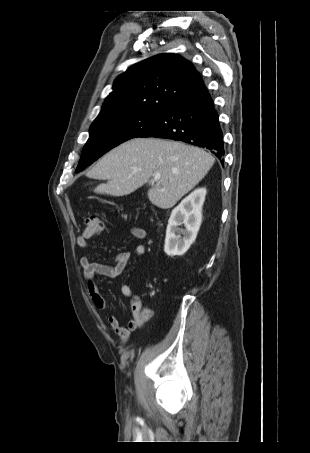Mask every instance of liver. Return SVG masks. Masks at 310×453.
Segmentation results:
<instances>
[{
	"label": "liver",
	"mask_w": 310,
	"mask_h": 453,
	"mask_svg": "<svg viewBox=\"0 0 310 453\" xmlns=\"http://www.w3.org/2000/svg\"><path fill=\"white\" fill-rule=\"evenodd\" d=\"M215 162L205 150L181 142L157 138H134L105 154L87 173L107 180L94 190L111 196L129 195L156 174L148 198L161 208H172L194 188ZM155 182V184H154Z\"/></svg>",
	"instance_id": "obj_1"
}]
</instances>
